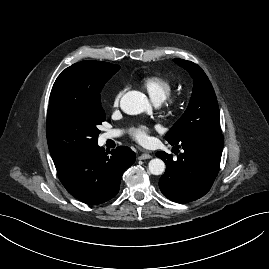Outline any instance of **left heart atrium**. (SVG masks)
I'll return each instance as SVG.
<instances>
[{"label":"left heart atrium","mask_w":269,"mask_h":269,"mask_svg":"<svg viewBox=\"0 0 269 269\" xmlns=\"http://www.w3.org/2000/svg\"><path fill=\"white\" fill-rule=\"evenodd\" d=\"M150 129L146 125H137L131 129L132 137L138 142H146L149 138Z\"/></svg>","instance_id":"left-heart-atrium-1"}]
</instances>
